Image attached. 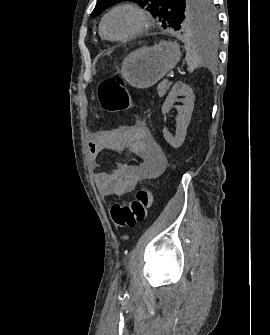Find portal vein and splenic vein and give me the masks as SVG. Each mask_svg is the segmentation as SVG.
Returning a JSON list of instances; mask_svg holds the SVG:
<instances>
[{
	"mask_svg": "<svg viewBox=\"0 0 270 335\" xmlns=\"http://www.w3.org/2000/svg\"><path fill=\"white\" fill-rule=\"evenodd\" d=\"M172 72H169L168 76H166V79H169V77H171Z\"/></svg>",
	"mask_w": 270,
	"mask_h": 335,
	"instance_id": "obj_1",
	"label": "portal vein and splenic vein"
}]
</instances>
